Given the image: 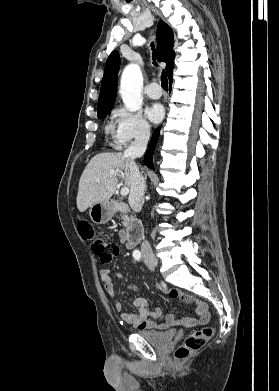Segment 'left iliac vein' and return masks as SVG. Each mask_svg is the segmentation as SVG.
<instances>
[{
    "mask_svg": "<svg viewBox=\"0 0 279 391\" xmlns=\"http://www.w3.org/2000/svg\"><path fill=\"white\" fill-rule=\"evenodd\" d=\"M148 267H149V269H150V270H152V271L154 270V268H153V267H150V266H148Z\"/></svg>",
    "mask_w": 279,
    "mask_h": 391,
    "instance_id": "1",
    "label": "left iliac vein"
}]
</instances>
